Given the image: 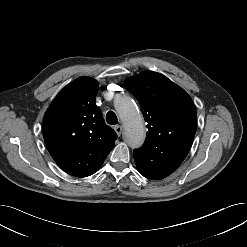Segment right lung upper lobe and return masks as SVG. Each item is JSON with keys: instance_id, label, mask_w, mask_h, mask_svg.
Segmentation results:
<instances>
[{"instance_id": "cb5924a9", "label": "right lung upper lobe", "mask_w": 247, "mask_h": 247, "mask_svg": "<svg viewBox=\"0 0 247 247\" xmlns=\"http://www.w3.org/2000/svg\"><path fill=\"white\" fill-rule=\"evenodd\" d=\"M97 91L96 80L80 77L61 90L44 115L43 137L49 153L72 176L94 174L117 139L95 103Z\"/></svg>"}]
</instances>
